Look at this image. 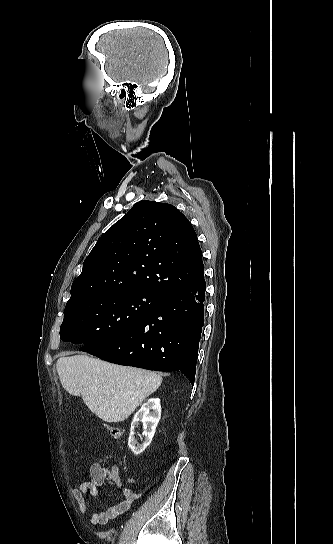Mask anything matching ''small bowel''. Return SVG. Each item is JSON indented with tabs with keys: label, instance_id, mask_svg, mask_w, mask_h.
<instances>
[{
	"label": "small bowel",
	"instance_id": "c3829d8e",
	"mask_svg": "<svg viewBox=\"0 0 333 544\" xmlns=\"http://www.w3.org/2000/svg\"><path fill=\"white\" fill-rule=\"evenodd\" d=\"M89 473L91 482L81 483L78 487H74L71 490L74 499L78 503L79 510L83 514L88 509L85 496L90 493L93 497H98V488L104 482L102 467L99 463H92ZM111 478L115 489L122 493L124 500L106 509L92 512L90 522L94 525H105L109 521L117 519L120 515L127 512L131 505L140 497L138 493L123 483L117 468L112 469Z\"/></svg>",
	"mask_w": 333,
	"mask_h": 544
}]
</instances>
